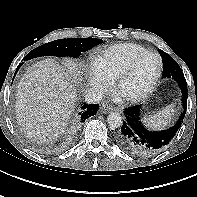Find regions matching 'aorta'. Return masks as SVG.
<instances>
[{
    "label": "aorta",
    "mask_w": 197,
    "mask_h": 197,
    "mask_svg": "<svg viewBox=\"0 0 197 197\" xmlns=\"http://www.w3.org/2000/svg\"><path fill=\"white\" fill-rule=\"evenodd\" d=\"M107 122L111 128H118L122 126V116L117 112H111L107 117Z\"/></svg>",
    "instance_id": "obj_1"
}]
</instances>
